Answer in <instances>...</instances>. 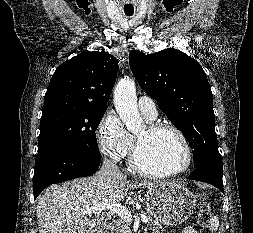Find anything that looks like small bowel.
<instances>
[{
    "instance_id": "c3829d8e",
    "label": "small bowel",
    "mask_w": 253,
    "mask_h": 233,
    "mask_svg": "<svg viewBox=\"0 0 253 233\" xmlns=\"http://www.w3.org/2000/svg\"><path fill=\"white\" fill-rule=\"evenodd\" d=\"M182 233H197V232L193 227L187 226L183 229Z\"/></svg>"
}]
</instances>
